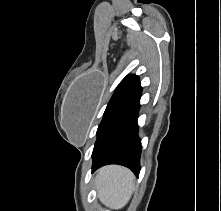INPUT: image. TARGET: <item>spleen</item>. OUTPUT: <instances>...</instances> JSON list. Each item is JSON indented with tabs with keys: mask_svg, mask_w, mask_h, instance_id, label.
<instances>
[{
	"mask_svg": "<svg viewBox=\"0 0 221 211\" xmlns=\"http://www.w3.org/2000/svg\"><path fill=\"white\" fill-rule=\"evenodd\" d=\"M95 186L100 201L113 209L123 208L134 190V175L120 166H107L100 170Z\"/></svg>",
	"mask_w": 221,
	"mask_h": 211,
	"instance_id": "obj_1",
	"label": "spleen"
}]
</instances>
